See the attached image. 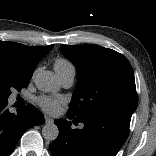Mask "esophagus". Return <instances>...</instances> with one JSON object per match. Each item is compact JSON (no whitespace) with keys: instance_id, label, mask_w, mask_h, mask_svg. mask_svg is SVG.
Segmentation results:
<instances>
[{"instance_id":"34e87169","label":"esophagus","mask_w":156,"mask_h":156,"mask_svg":"<svg viewBox=\"0 0 156 156\" xmlns=\"http://www.w3.org/2000/svg\"><path fill=\"white\" fill-rule=\"evenodd\" d=\"M44 118H45V123H46V124H50V123L53 122V119L50 118L48 115H45Z\"/></svg>"}]
</instances>
